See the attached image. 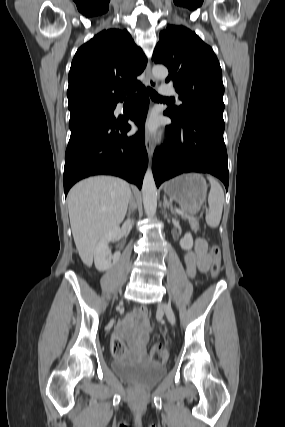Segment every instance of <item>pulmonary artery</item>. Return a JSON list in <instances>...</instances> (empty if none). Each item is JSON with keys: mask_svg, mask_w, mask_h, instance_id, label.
Instances as JSON below:
<instances>
[{"mask_svg": "<svg viewBox=\"0 0 285 427\" xmlns=\"http://www.w3.org/2000/svg\"><path fill=\"white\" fill-rule=\"evenodd\" d=\"M160 93L163 97H176L175 90L170 85H164L160 89Z\"/></svg>", "mask_w": 285, "mask_h": 427, "instance_id": "1", "label": "pulmonary artery"}]
</instances>
